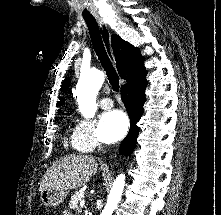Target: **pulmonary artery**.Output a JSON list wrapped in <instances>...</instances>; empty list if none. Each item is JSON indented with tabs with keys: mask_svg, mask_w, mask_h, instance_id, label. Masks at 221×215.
Masks as SVG:
<instances>
[{
	"mask_svg": "<svg viewBox=\"0 0 221 215\" xmlns=\"http://www.w3.org/2000/svg\"><path fill=\"white\" fill-rule=\"evenodd\" d=\"M100 105L103 109L107 110L113 107V101L110 98H104L101 100Z\"/></svg>",
	"mask_w": 221,
	"mask_h": 215,
	"instance_id": "e3ab8cb5",
	"label": "pulmonary artery"
}]
</instances>
